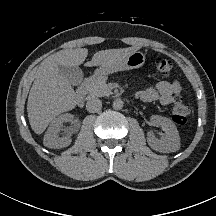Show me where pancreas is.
I'll return each mask as SVG.
<instances>
[{
	"instance_id": "1",
	"label": "pancreas",
	"mask_w": 216,
	"mask_h": 216,
	"mask_svg": "<svg viewBox=\"0 0 216 216\" xmlns=\"http://www.w3.org/2000/svg\"><path fill=\"white\" fill-rule=\"evenodd\" d=\"M106 76H98L95 79L86 83V88L89 96L91 97H103L110 95L111 89L106 83Z\"/></svg>"
}]
</instances>
